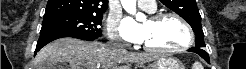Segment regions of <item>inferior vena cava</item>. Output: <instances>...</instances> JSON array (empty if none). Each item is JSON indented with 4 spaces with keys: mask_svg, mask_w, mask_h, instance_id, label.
<instances>
[{
    "mask_svg": "<svg viewBox=\"0 0 246 69\" xmlns=\"http://www.w3.org/2000/svg\"><path fill=\"white\" fill-rule=\"evenodd\" d=\"M114 47L121 48L120 46H116V45H114Z\"/></svg>",
    "mask_w": 246,
    "mask_h": 69,
    "instance_id": "1",
    "label": "inferior vena cava"
}]
</instances>
